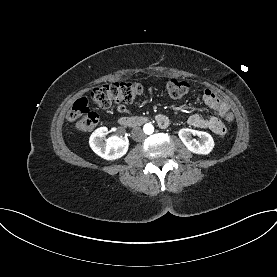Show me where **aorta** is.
<instances>
[{
    "mask_svg": "<svg viewBox=\"0 0 277 277\" xmlns=\"http://www.w3.org/2000/svg\"><path fill=\"white\" fill-rule=\"evenodd\" d=\"M144 133L150 135L154 132V126L151 123H147L143 127Z\"/></svg>",
    "mask_w": 277,
    "mask_h": 277,
    "instance_id": "obj_1",
    "label": "aorta"
}]
</instances>
